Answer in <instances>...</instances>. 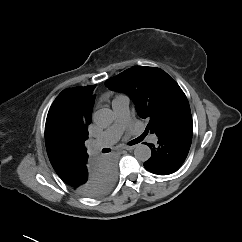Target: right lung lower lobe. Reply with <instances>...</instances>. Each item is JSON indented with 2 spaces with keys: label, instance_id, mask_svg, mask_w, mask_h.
Masks as SVG:
<instances>
[{
  "label": "right lung lower lobe",
  "instance_id": "right-lung-lower-lobe-1",
  "mask_svg": "<svg viewBox=\"0 0 242 242\" xmlns=\"http://www.w3.org/2000/svg\"><path fill=\"white\" fill-rule=\"evenodd\" d=\"M117 177L113 156H88L62 179L81 194L101 197L114 186Z\"/></svg>",
  "mask_w": 242,
  "mask_h": 242
}]
</instances>
